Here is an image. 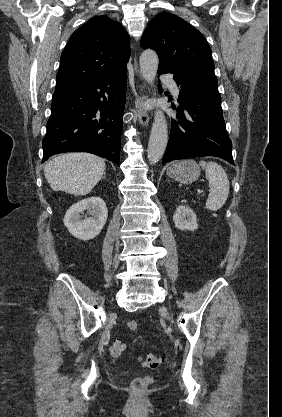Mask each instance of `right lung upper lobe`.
Wrapping results in <instances>:
<instances>
[{
  "instance_id": "cb5924a9",
  "label": "right lung upper lobe",
  "mask_w": 282,
  "mask_h": 417,
  "mask_svg": "<svg viewBox=\"0 0 282 417\" xmlns=\"http://www.w3.org/2000/svg\"><path fill=\"white\" fill-rule=\"evenodd\" d=\"M130 57L129 35L119 22L95 16L70 37L60 59L56 89L86 83L125 70Z\"/></svg>"
}]
</instances>
